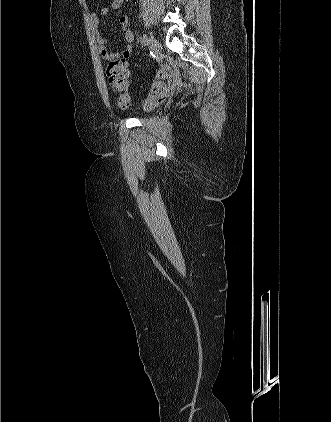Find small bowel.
<instances>
[{"mask_svg": "<svg viewBox=\"0 0 331 422\" xmlns=\"http://www.w3.org/2000/svg\"><path fill=\"white\" fill-rule=\"evenodd\" d=\"M123 3L124 0H112L110 8H103L99 13L90 14V23L97 38L99 51L102 59L106 62L114 59H122L126 62L132 53V42L134 41L135 35L134 32L128 27L127 16L123 15L120 17V23L122 24L124 31V41L126 43V46L122 51L116 53L111 52L107 48V39L102 36L100 31V18L109 13L110 10H117L121 8Z\"/></svg>", "mask_w": 331, "mask_h": 422, "instance_id": "obj_1", "label": "small bowel"}]
</instances>
